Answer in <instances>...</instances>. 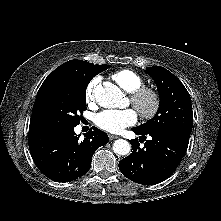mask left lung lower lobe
Here are the masks:
<instances>
[{"label": "left lung lower lobe", "instance_id": "1", "mask_svg": "<svg viewBox=\"0 0 221 221\" xmlns=\"http://www.w3.org/2000/svg\"><path fill=\"white\" fill-rule=\"evenodd\" d=\"M140 139L146 140L144 147H139L138 140L131 141L132 153L119 162V169L128 179L139 184H155L168 178L184 157L189 137L173 132L142 133L132 129ZM139 139V141H140Z\"/></svg>", "mask_w": 221, "mask_h": 221}]
</instances>
